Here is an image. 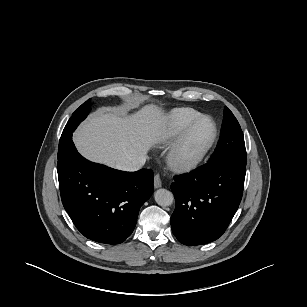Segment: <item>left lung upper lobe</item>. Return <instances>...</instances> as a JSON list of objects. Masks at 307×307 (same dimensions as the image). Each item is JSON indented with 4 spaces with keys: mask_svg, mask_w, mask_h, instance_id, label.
<instances>
[{
    "mask_svg": "<svg viewBox=\"0 0 307 307\" xmlns=\"http://www.w3.org/2000/svg\"><path fill=\"white\" fill-rule=\"evenodd\" d=\"M229 162L246 169V149L241 127L229 110L224 108L220 139L208 163Z\"/></svg>",
    "mask_w": 307,
    "mask_h": 307,
    "instance_id": "1",
    "label": "left lung upper lobe"
}]
</instances>
